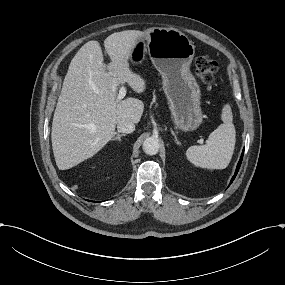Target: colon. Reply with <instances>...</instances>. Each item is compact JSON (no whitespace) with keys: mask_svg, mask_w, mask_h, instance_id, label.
<instances>
[{"mask_svg":"<svg viewBox=\"0 0 285 285\" xmlns=\"http://www.w3.org/2000/svg\"><path fill=\"white\" fill-rule=\"evenodd\" d=\"M217 69V62L209 57L202 56L196 61V76L204 84L213 82Z\"/></svg>","mask_w":285,"mask_h":285,"instance_id":"5ec220e1","label":"colon"}]
</instances>
